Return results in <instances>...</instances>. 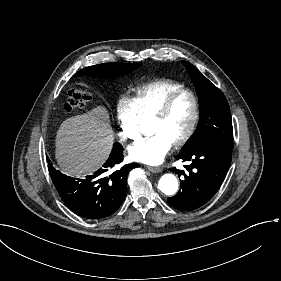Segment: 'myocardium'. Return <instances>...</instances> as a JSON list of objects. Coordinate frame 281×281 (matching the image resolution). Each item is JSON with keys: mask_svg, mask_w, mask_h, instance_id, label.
Masks as SVG:
<instances>
[{"mask_svg": "<svg viewBox=\"0 0 281 281\" xmlns=\"http://www.w3.org/2000/svg\"><path fill=\"white\" fill-rule=\"evenodd\" d=\"M181 96H188L191 99L193 110H192L191 121H190V124H189L187 130L180 138H178L172 142V144L174 146H182L185 143H187L191 139V137L193 136V134L197 128L200 110H199V101H198V98L196 97V95L188 89H183V90L177 91V92L171 94L169 97H167L164 100V102L155 111H153L152 113H150L149 115H147L145 117L146 120L162 118L167 113V111L169 110V108L173 104V102Z\"/></svg>", "mask_w": 281, "mask_h": 281, "instance_id": "f54148a6", "label": "myocardium"}]
</instances>
